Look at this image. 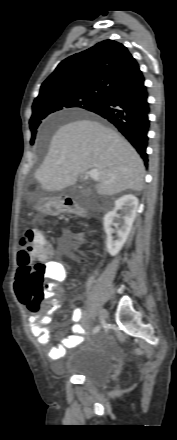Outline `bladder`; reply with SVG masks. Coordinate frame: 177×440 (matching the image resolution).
<instances>
[{
    "label": "bladder",
    "mask_w": 177,
    "mask_h": 440,
    "mask_svg": "<svg viewBox=\"0 0 177 440\" xmlns=\"http://www.w3.org/2000/svg\"><path fill=\"white\" fill-rule=\"evenodd\" d=\"M112 360L95 349L85 347L78 357L66 367V373L78 375L90 384L101 387L112 374Z\"/></svg>",
    "instance_id": "obj_1"
}]
</instances>
